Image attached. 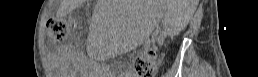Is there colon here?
I'll return each mask as SVG.
<instances>
[{"label": "colon", "mask_w": 258, "mask_h": 77, "mask_svg": "<svg viewBox=\"0 0 258 77\" xmlns=\"http://www.w3.org/2000/svg\"><path fill=\"white\" fill-rule=\"evenodd\" d=\"M71 22L64 23L60 20H52L48 23L53 39H64L67 35ZM134 68L139 77H152L156 70V53L153 50H147L140 53L135 62Z\"/></svg>", "instance_id": "1"}]
</instances>
